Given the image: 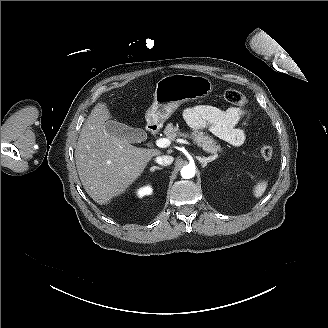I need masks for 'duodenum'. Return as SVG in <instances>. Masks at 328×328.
<instances>
[{"mask_svg": "<svg viewBox=\"0 0 328 328\" xmlns=\"http://www.w3.org/2000/svg\"><path fill=\"white\" fill-rule=\"evenodd\" d=\"M149 133H153V129L152 128L149 129Z\"/></svg>", "mask_w": 328, "mask_h": 328, "instance_id": "1", "label": "duodenum"}]
</instances>
